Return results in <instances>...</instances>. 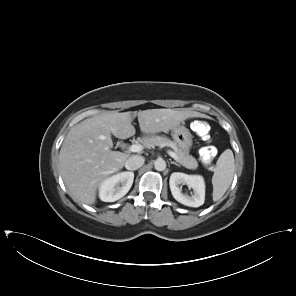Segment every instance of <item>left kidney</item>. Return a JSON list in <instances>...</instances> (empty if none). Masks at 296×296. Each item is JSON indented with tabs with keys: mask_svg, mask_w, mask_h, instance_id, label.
<instances>
[{
	"mask_svg": "<svg viewBox=\"0 0 296 296\" xmlns=\"http://www.w3.org/2000/svg\"><path fill=\"white\" fill-rule=\"evenodd\" d=\"M181 184H186L189 188H192L194 194L192 196L183 194L179 188ZM169 185L173 197L179 203L189 207H199L204 204L205 182L202 176L174 172L170 176Z\"/></svg>",
	"mask_w": 296,
	"mask_h": 296,
	"instance_id": "1",
	"label": "left kidney"
}]
</instances>
